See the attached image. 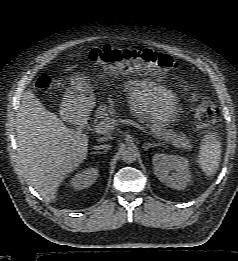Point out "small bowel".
Returning a JSON list of instances; mask_svg holds the SVG:
<instances>
[{"mask_svg": "<svg viewBox=\"0 0 238 261\" xmlns=\"http://www.w3.org/2000/svg\"><path fill=\"white\" fill-rule=\"evenodd\" d=\"M126 93L132 110L140 116L148 114L161 124L176 117L177 97L164 86L149 79L132 80L126 84Z\"/></svg>", "mask_w": 238, "mask_h": 261, "instance_id": "obj_1", "label": "small bowel"}]
</instances>
